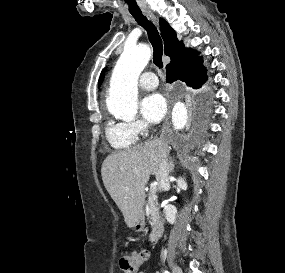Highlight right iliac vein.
I'll return each instance as SVG.
<instances>
[{"instance_id":"1","label":"right iliac vein","mask_w":285,"mask_h":273,"mask_svg":"<svg viewBox=\"0 0 285 273\" xmlns=\"http://www.w3.org/2000/svg\"><path fill=\"white\" fill-rule=\"evenodd\" d=\"M172 271L173 273H183L181 268L178 266H173Z\"/></svg>"}]
</instances>
